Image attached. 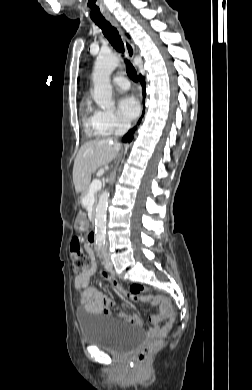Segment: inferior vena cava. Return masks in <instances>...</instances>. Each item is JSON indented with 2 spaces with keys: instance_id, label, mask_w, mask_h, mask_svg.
Masks as SVG:
<instances>
[{
  "instance_id": "obj_1",
  "label": "inferior vena cava",
  "mask_w": 252,
  "mask_h": 390,
  "mask_svg": "<svg viewBox=\"0 0 252 390\" xmlns=\"http://www.w3.org/2000/svg\"><path fill=\"white\" fill-rule=\"evenodd\" d=\"M130 128V124L124 123L119 126V128L115 132L116 138L114 139V147L117 150V152L120 149V144L117 142V137L124 135Z\"/></svg>"
}]
</instances>
